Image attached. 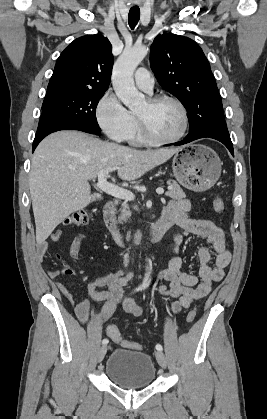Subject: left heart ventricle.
Instances as JSON below:
<instances>
[{
  "label": "left heart ventricle",
  "mask_w": 267,
  "mask_h": 419,
  "mask_svg": "<svg viewBox=\"0 0 267 419\" xmlns=\"http://www.w3.org/2000/svg\"><path fill=\"white\" fill-rule=\"evenodd\" d=\"M136 113L145 119L151 132L159 138H172L182 128L181 112L174 103L169 101H162L155 105H150L145 101Z\"/></svg>",
  "instance_id": "1"
}]
</instances>
